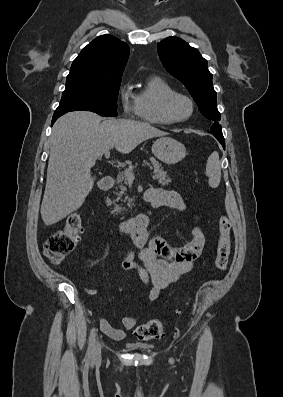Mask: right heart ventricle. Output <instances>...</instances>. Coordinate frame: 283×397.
<instances>
[{"instance_id":"obj_1","label":"right heart ventricle","mask_w":283,"mask_h":397,"mask_svg":"<svg viewBox=\"0 0 283 397\" xmlns=\"http://www.w3.org/2000/svg\"><path fill=\"white\" fill-rule=\"evenodd\" d=\"M175 92V89L163 78L148 77L135 94L139 118L150 124H167L162 115V103L168 95Z\"/></svg>"}]
</instances>
